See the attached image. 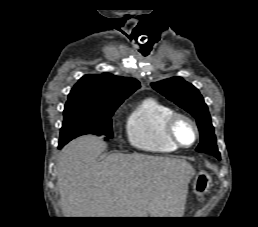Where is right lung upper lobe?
Wrapping results in <instances>:
<instances>
[{"label":"right lung upper lobe","mask_w":258,"mask_h":227,"mask_svg":"<svg viewBox=\"0 0 258 227\" xmlns=\"http://www.w3.org/2000/svg\"><path fill=\"white\" fill-rule=\"evenodd\" d=\"M140 88L134 78L102 75H85L72 88L67 102H77L92 106H115Z\"/></svg>","instance_id":"cb5924a9"}]
</instances>
